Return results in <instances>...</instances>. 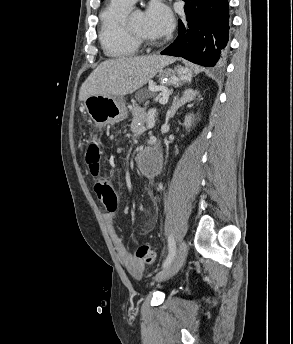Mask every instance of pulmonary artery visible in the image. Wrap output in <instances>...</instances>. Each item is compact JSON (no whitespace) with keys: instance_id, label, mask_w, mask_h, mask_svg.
<instances>
[{"instance_id":"pulmonary-artery-1","label":"pulmonary artery","mask_w":293,"mask_h":344,"mask_svg":"<svg viewBox=\"0 0 293 344\" xmlns=\"http://www.w3.org/2000/svg\"><path fill=\"white\" fill-rule=\"evenodd\" d=\"M113 1L118 2V3H123V4L132 5V4H134L137 0H113Z\"/></svg>"}]
</instances>
